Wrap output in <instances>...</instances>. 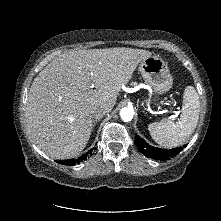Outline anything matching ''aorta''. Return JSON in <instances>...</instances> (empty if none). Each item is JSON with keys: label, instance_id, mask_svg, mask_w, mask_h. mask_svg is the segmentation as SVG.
I'll return each instance as SVG.
<instances>
[{"label": "aorta", "instance_id": "obj_1", "mask_svg": "<svg viewBox=\"0 0 221 221\" xmlns=\"http://www.w3.org/2000/svg\"><path fill=\"white\" fill-rule=\"evenodd\" d=\"M133 115H134V110L130 107H124L120 110V117L125 122L131 121Z\"/></svg>", "mask_w": 221, "mask_h": 221}]
</instances>
